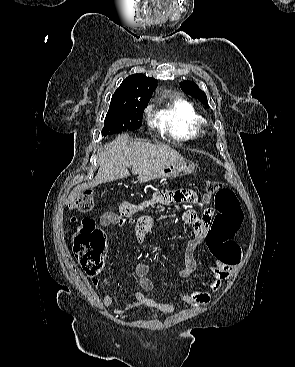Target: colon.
I'll return each instance as SVG.
<instances>
[{"label": "colon", "mask_w": 295, "mask_h": 367, "mask_svg": "<svg viewBox=\"0 0 295 367\" xmlns=\"http://www.w3.org/2000/svg\"><path fill=\"white\" fill-rule=\"evenodd\" d=\"M211 197L214 198L217 214L211 224L207 244L223 261L237 264L241 259V249L234 241V236L243 220L239 201L231 189L218 181L207 184L204 199L208 201ZM72 207L79 212L92 210L93 194H80ZM72 247L76 259L87 274L95 275L101 270L106 253V239L93 219L83 218L80 221L73 234Z\"/></svg>", "instance_id": "5ec220e1"}]
</instances>
